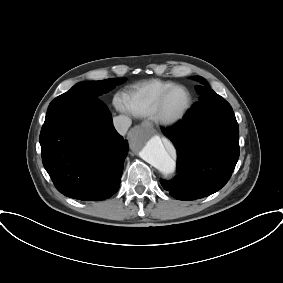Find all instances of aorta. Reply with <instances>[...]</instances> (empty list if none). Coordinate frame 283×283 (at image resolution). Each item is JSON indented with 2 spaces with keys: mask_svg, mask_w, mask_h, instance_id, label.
I'll return each instance as SVG.
<instances>
[{
  "mask_svg": "<svg viewBox=\"0 0 283 283\" xmlns=\"http://www.w3.org/2000/svg\"><path fill=\"white\" fill-rule=\"evenodd\" d=\"M131 146L139 151L143 160L163 175L167 176L175 172L176 163L159 136L148 133L144 128H138L131 138ZM171 148L174 150L172 146Z\"/></svg>",
  "mask_w": 283,
  "mask_h": 283,
  "instance_id": "aorta-1",
  "label": "aorta"
}]
</instances>
